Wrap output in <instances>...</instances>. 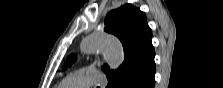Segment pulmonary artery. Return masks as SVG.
I'll return each mask as SVG.
<instances>
[{
	"instance_id": "1",
	"label": "pulmonary artery",
	"mask_w": 223,
	"mask_h": 88,
	"mask_svg": "<svg viewBox=\"0 0 223 88\" xmlns=\"http://www.w3.org/2000/svg\"><path fill=\"white\" fill-rule=\"evenodd\" d=\"M105 76L92 68H83L66 76L62 82V88H85L93 85H105Z\"/></svg>"
}]
</instances>
